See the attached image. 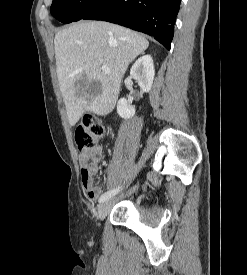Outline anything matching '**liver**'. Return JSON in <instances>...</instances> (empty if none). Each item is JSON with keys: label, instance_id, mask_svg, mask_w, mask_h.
Returning a JSON list of instances; mask_svg holds the SVG:
<instances>
[{"label": "liver", "instance_id": "1", "mask_svg": "<svg viewBox=\"0 0 247 275\" xmlns=\"http://www.w3.org/2000/svg\"><path fill=\"white\" fill-rule=\"evenodd\" d=\"M57 77L69 124L84 112L105 116L115 107L121 80L136 57L149 46L140 34L103 21H81L56 33ZM110 72L102 71V66ZM79 81L93 83L82 90Z\"/></svg>", "mask_w": 247, "mask_h": 275}]
</instances>
